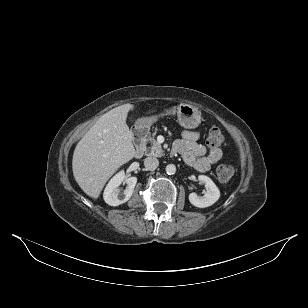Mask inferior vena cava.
<instances>
[{"instance_id":"obj_1","label":"inferior vena cava","mask_w":308,"mask_h":308,"mask_svg":"<svg viewBox=\"0 0 308 308\" xmlns=\"http://www.w3.org/2000/svg\"><path fill=\"white\" fill-rule=\"evenodd\" d=\"M144 165L148 170H154L158 167L159 161L155 157H147L144 160Z\"/></svg>"}]
</instances>
